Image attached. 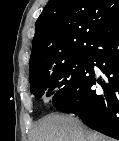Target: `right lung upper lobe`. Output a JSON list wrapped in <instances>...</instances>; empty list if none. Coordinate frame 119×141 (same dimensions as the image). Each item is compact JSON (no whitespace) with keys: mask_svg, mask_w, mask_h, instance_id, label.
<instances>
[{"mask_svg":"<svg viewBox=\"0 0 119 141\" xmlns=\"http://www.w3.org/2000/svg\"><path fill=\"white\" fill-rule=\"evenodd\" d=\"M117 19L119 0H50L35 24L29 75L88 57Z\"/></svg>","mask_w":119,"mask_h":141,"instance_id":"cb5924a9","label":"right lung upper lobe"}]
</instances>
